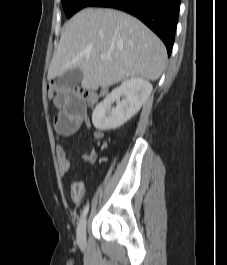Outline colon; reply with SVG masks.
<instances>
[{"mask_svg":"<svg viewBox=\"0 0 227 265\" xmlns=\"http://www.w3.org/2000/svg\"><path fill=\"white\" fill-rule=\"evenodd\" d=\"M58 87H68V86H62L56 83H50L47 86V94L50 98L54 99V96H58ZM78 91H82V96H85L86 105L93 106L97 102L98 100L97 96L91 91L79 87Z\"/></svg>","mask_w":227,"mask_h":265,"instance_id":"1","label":"colon"}]
</instances>
